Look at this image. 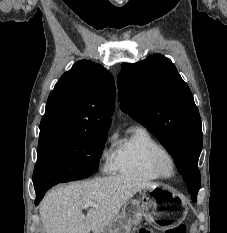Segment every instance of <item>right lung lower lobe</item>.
<instances>
[{
	"mask_svg": "<svg viewBox=\"0 0 227 233\" xmlns=\"http://www.w3.org/2000/svg\"><path fill=\"white\" fill-rule=\"evenodd\" d=\"M59 184V183H52L49 184L47 186L41 187L39 189H36V200H35V205H38L40 203V201L42 200L45 192L50 189L51 187H53L54 185Z\"/></svg>",
	"mask_w": 227,
	"mask_h": 233,
	"instance_id": "98d812e1",
	"label": "right lung lower lobe"
}]
</instances>
